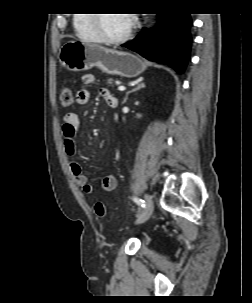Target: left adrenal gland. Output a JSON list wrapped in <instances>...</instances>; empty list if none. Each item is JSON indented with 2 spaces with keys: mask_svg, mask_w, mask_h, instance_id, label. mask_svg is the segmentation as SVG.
Wrapping results in <instances>:
<instances>
[{
  "mask_svg": "<svg viewBox=\"0 0 252 303\" xmlns=\"http://www.w3.org/2000/svg\"><path fill=\"white\" fill-rule=\"evenodd\" d=\"M144 87H145V84H144V83H139V84H137V86H136L134 89H132L131 91H128V92L126 93L123 103H125V102L127 101L128 95H129L130 93H132V92H134V91H137V90H139V89H141V88H144Z\"/></svg>",
  "mask_w": 252,
  "mask_h": 303,
  "instance_id": "obj_1",
  "label": "left adrenal gland"
}]
</instances>
